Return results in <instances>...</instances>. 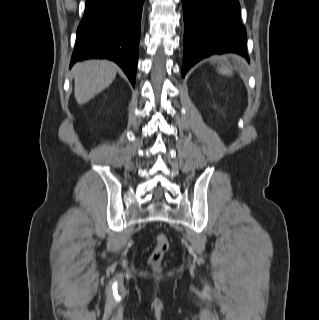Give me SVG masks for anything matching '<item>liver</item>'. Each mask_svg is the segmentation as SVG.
Instances as JSON below:
<instances>
[{
    "mask_svg": "<svg viewBox=\"0 0 319 320\" xmlns=\"http://www.w3.org/2000/svg\"><path fill=\"white\" fill-rule=\"evenodd\" d=\"M74 96L83 105L107 88L116 77V67L107 60H86L73 67Z\"/></svg>",
    "mask_w": 319,
    "mask_h": 320,
    "instance_id": "obj_1",
    "label": "liver"
}]
</instances>
